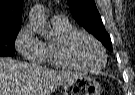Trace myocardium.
<instances>
[{
	"label": "myocardium",
	"mask_w": 135,
	"mask_h": 95,
	"mask_svg": "<svg viewBox=\"0 0 135 95\" xmlns=\"http://www.w3.org/2000/svg\"><path fill=\"white\" fill-rule=\"evenodd\" d=\"M81 36L90 39L92 42H94L96 44V46L101 51V54L103 57V62L100 66L87 67L82 64H79L71 57L70 48H71L72 44L74 43V41ZM56 55H57L58 59L60 60V62L63 63L65 66L71 67V68H76V69L83 70V71H88V72H98V71L102 70L105 67L106 62H107V53H106V50H105L104 46L102 45V43L97 38H95L93 35H91L90 33L85 32V31H80V30H74L73 32L66 35L64 38H62L57 43Z\"/></svg>",
	"instance_id": "obj_1"
}]
</instances>
